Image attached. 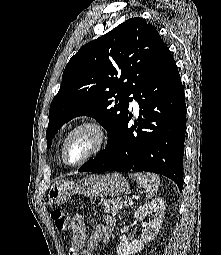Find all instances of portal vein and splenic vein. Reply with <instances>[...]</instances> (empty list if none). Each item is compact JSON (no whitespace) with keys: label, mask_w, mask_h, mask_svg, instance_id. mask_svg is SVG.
<instances>
[{"label":"portal vein and splenic vein","mask_w":221,"mask_h":255,"mask_svg":"<svg viewBox=\"0 0 221 255\" xmlns=\"http://www.w3.org/2000/svg\"><path fill=\"white\" fill-rule=\"evenodd\" d=\"M124 202H125V203H127L128 201H127V200H125Z\"/></svg>","instance_id":"1"}]
</instances>
